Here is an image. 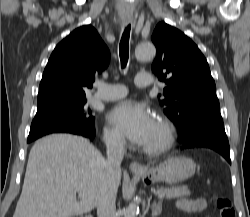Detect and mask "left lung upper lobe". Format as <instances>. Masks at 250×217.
<instances>
[{
	"label": "left lung upper lobe",
	"instance_id": "obj_1",
	"mask_svg": "<svg viewBox=\"0 0 250 217\" xmlns=\"http://www.w3.org/2000/svg\"><path fill=\"white\" fill-rule=\"evenodd\" d=\"M152 41L157 48L152 71L167 84L160 105L178 130L190 117L220 110L209 65L196 44L165 22L156 26Z\"/></svg>",
	"mask_w": 250,
	"mask_h": 217
}]
</instances>
